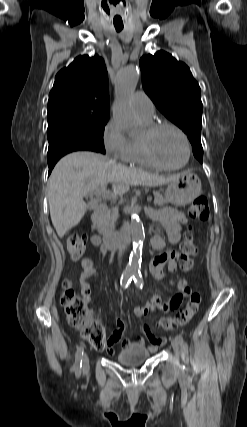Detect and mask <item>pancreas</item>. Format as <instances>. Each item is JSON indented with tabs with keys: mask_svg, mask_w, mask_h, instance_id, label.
<instances>
[{
	"mask_svg": "<svg viewBox=\"0 0 247 427\" xmlns=\"http://www.w3.org/2000/svg\"><path fill=\"white\" fill-rule=\"evenodd\" d=\"M167 202L168 201L159 192H154L155 205L162 206ZM118 216H119L118 206H114L111 209L101 211L99 215V222L96 225L98 231L104 236H107L113 233Z\"/></svg>",
	"mask_w": 247,
	"mask_h": 427,
	"instance_id": "1",
	"label": "pancreas"
}]
</instances>
